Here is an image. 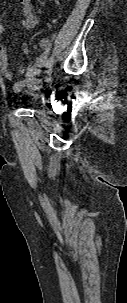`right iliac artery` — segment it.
<instances>
[{
	"instance_id": "1",
	"label": "right iliac artery",
	"mask_w": 127,
	"mask_h": 303,
	"mask_svg": "<svg viewBox=\"0 0 127 303\" xmlns=\"http://www.w3.org/2000/svg\"><path fill=\"white\" fill-rule=\"evenodd\" d=\"M53 62H54L53 58L52 57L49 58L45 64V67L50 68L53 65Z\"/></svg>"
}]
</instances>
